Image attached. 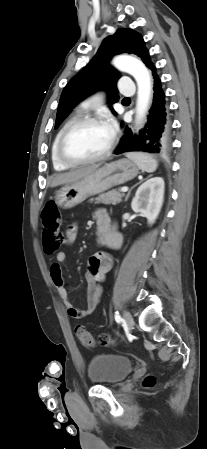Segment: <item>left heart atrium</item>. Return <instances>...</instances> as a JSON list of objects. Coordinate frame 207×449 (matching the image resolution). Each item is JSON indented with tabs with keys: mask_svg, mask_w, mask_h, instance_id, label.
Here are the masks:
<instances>
[{
	"mask_svg": "<svg viewBox=\"0 0 207 449\" xmlns=\"http://www.w3.org/2000/svg\"><path fill=\"white\" fill-rule=\"evenodd\" d=\"M106 126L109 129L111 134L115 133V131H116V123L113 120H109L107 122Z\"/></svg>",
	"mask_w": 207,
	"mask_h": 449,
	"instance_id": "left-heart-atrium-1",
	"label": "left heart atrium"
}]
</instances>
